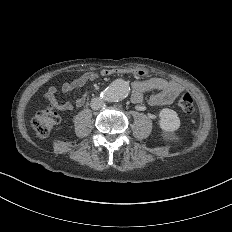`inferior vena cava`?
I'll use <instances>...</instances> for the list:
<instances>
[{
    "instance_id": "602c4592",
    "label": "inferior vena cava",
    "mask_w": 232,
    "mask_h": 232,
    "mask_svg": "<svg viewBox=\"0 0 232 232\" xmlns=\"http://www.w3.org/2000/svg\"><path fill=\"white\" fill-rule=\"evenodd\" d=\"M89 107L93 111H100L104 107V102L100 98H93L89 102Z\"/></svg>"
}]
</instances>
